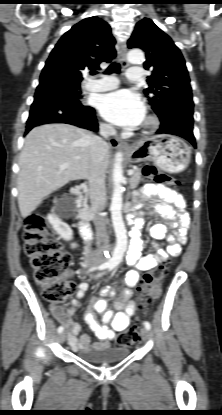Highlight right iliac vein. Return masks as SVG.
Returning <instances> with one entry per match:
<instances>
[{
	"label": "right iliac vein",
	"instance_id": "obj_1",
	"mask_svg": "<svg viewBox=\"0 0 222 415\" xmlns=\"http://www.w3.org/2000/svg\"><path fill=\"white\" fill-rule=\"evenodd\" d=\"M65 339H66V333L63 332L59 335V342L64 343Z\"/></svg>",
	"mask_w": 222,
	"mask_h": 415
}]
</instances>
